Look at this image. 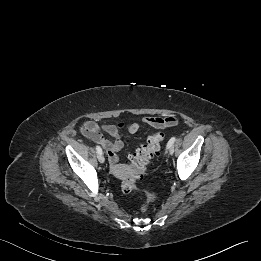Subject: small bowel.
Wrapping results in <instances>:
<instances>
[{
    "instance_id": "small-bowel-1",
    "label": "small bowel",
    "mask_w": 261,
    "mask_h": 261,
    "mask_svg": "<svg viewBox=\"0 0 261 261\" xmlns=\"http://www.w3.org/2000/svg\"><path fill=\"white\" fill-rule=\"evenodd\" d=\"M177 123L178 118L174 115H169L163 118L144 116L140 119L139 122L116 124L105 123L101 126L98 125L95 121L88 120L82 123L80 131L85 137L98 143L106 150L108 160L111 165L114 166L118 162L117 152H119L124 147V143L121 140L123 133L127 132L129 134H134L141 128L142 125L163 129L174 126ZM103 132L110 135L111 138H106L103 135Z\"/></svg>"
}]
</instances>
